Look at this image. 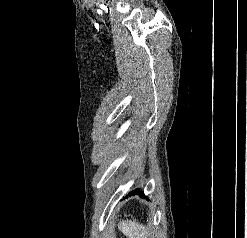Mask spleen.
<instances>
[{
	"mask_svg": "<svg viewBox=\"0 0 247 238\" xmlns=\"http://www.w3.org/2000/svg\"><path fill=\"white\" fill-rule=\"evenodd\" d=\"M118 228L128 238H148V232L144 225L135 220H122Z\"/></svg>",
	"mask_w": 247,
	"mask_h": 238,
	"instance_id": "1",
	"label": "spleen"
}]
</instances>
